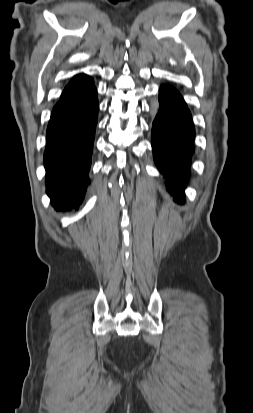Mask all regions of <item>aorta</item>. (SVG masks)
Segmentation results:
<instances>
[{
    "label": "aorta",
    "mask_w": 253,
    "mask_h": 413,
    "mask_svg": "<svg viewBox=\"0 0 253 413\" xmlns=\"http://www.w3.org/2000/svg\"><path fill=\"white\" fill-rule=\"evenodd\" d=\"M158 108H159V103H158L157 101H154V102L151 104L152 113L156 114Z\"/></svg>",
    "instance_id": "obj_1"
}]
</instances>
